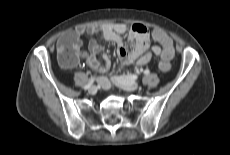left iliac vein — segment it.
I'll list each match as a JSON object with an SVG mask.
<instances>
[{"label": "left iliac vein", "mask_w": 230, "mask_h": 155, "mask_svg": "<svg viewBox=\"0 0 230 155\" xmlns=\"http://www.w3.org/2000/svg\"><path fill=\"white\" fill-rule=\"evenodd\" d=\"M111 81L113 82V84L126 91H135L140 87V85L136 81L126 79L125 77L112 76Z\"/></svg>", "instance_id": "left-iliac-vein-1"}]
</instances>
